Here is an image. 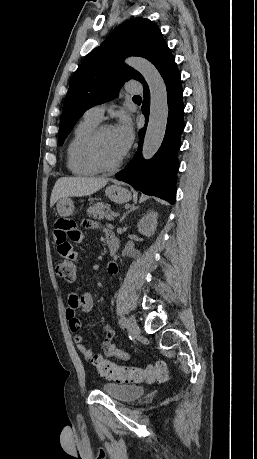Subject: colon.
<instances>
[{"label":"colon","instance_id":"obj_1","mask_svg":"<svg viewBox=\"0 0 257 459\" xmlns=\"http://www.w3.org/2000/svg\"><path fill=\"white\" fill-rule=\"evenodd\" d=\"M58 277L66 281H74L77 277V266L74 261L59 260L55 263ZM92 364L103 377L123 382H165L168 380L167 366L163 361L150 364L145 368L118 366L100 354L92 357Z\"/></svg>","mask_w":257,"mask_h":459}]
</instances>
